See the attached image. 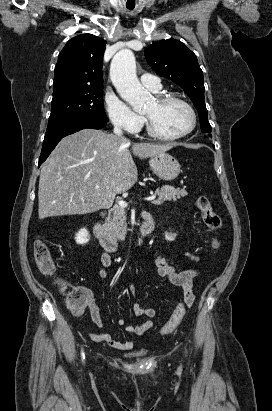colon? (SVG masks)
Instances as JSON below:
<instances>
[{"mask_svg": "<svg viewBox=\"0 0 272 411\" xmlns=\"http://www.w3.org/2000/svg\"><path fill=\"white\" fill-rule=\"evenodd\" d=\"M196 205L201 212L204 223L214 234L211 243L212 248L218 249L220 247V240L217 237V233L222 226L221 218L215 212L210 200L207 197H198ZM33 252L35 263L40 273L46 277L55 279L60 291L66 296L70 309L76 315L81 314L89 303L88 293L78 287L66 283L58 277L55 262L47 244L44 241L37 240L34 243ZM190 305L191 299L189 297L184 298L180 303H178L170 320L161 328V334L166 335L173 333L183 319L186 309L190 307Z\"/></svg>", "mask_w": 272, "mask_h": 411, "instance_id": "5ec220e1", "label": "colon"}]
</instances>
